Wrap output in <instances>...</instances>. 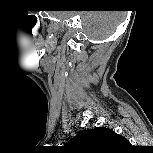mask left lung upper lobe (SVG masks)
<instances>
[{"instance_id": "5c2ea615", "label": "left lung upper lobe", "mask_w": 153, "mask_h": 153, "mask_svg": "<svg viewBox=\"0 0 153 153\" xmlns=\"http://www.w3.org/2000/svg\"><path fill=\"white\" fill-rule=\"evenodd\" d=\"M68 145L81 153H110L129 146V142L109 128L80 131Z\"/></svg>"}]
</instances>
